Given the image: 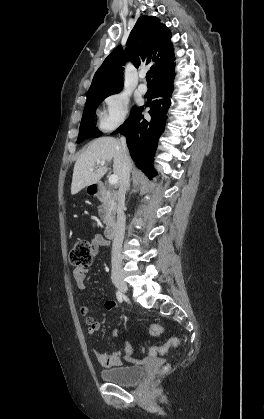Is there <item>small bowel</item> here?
<instances>
[{"label": "small bowel", "mask_w": 264, "mask_h": 419, "mask_svg": "<svg viewBox=\"0 0 264 419\" xmlns=\"http://www.w3.org/2000/svg\"><path fill=\"white\" fill-rule=\"evenodd\" d=\"M110 242L101 235H95L91 242L92 252L96 254L101 247L109 246ZM86 273L87 269L85 268H75L72 272L73 278L76 282L77 289L80 293L86 290ZM105 308L109 312H113L116 309V304L113 301H107L105 304ZM80 314L84 317L85 323L88 326V333L90 335H94L98 333L102 325L99 321L89 315V307L83 305L79 309ZM154 329H157L158 332L154 333ZM150 331L154 335H159L162 333V326L160 324H152L150 327ZM114 337H118L120 335V330L115 328L112 332ZM174 338H171L164 346L162 347H150L147 349V355L149 357H156L159 355H163L171 348L170 343ZM133 354V347L130 343H125L124 346V355L121 353H112L106 354L102 351H95V355L99 363L105 368H111L115 366H120L123 360H129Z\"/></svg>", "instance_id": "obj_1"}]
</instances>
